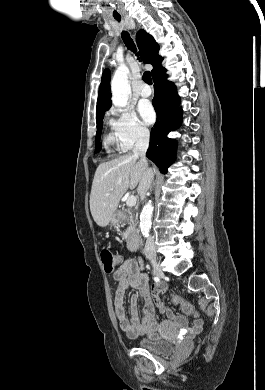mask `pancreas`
Segmentation results:
<instances>
[{
	"label": "pancreas",
	"instance_id": "cf45deb5",
	"mask_svg": "<svg viewBox=\"0 0 265 390\" xmlns=\"http://www.w3.org/2000/svg\"><path fill=\"white\" fill-rule=\"evenodd\" d=\"M128 224V229L122 233L123 237L125 239L128 238L129 234L133 231H135L137 226V218L135 217L133 210L131 208H128L124 211V221L123 225Z\"/></svg>",
	"mask_w": 265,
	"mask_h": 390
}]
</instances>
